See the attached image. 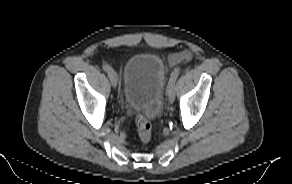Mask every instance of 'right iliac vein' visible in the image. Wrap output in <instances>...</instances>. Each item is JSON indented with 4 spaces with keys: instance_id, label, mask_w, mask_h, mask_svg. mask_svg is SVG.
<instances>
[{
    "instance_id": "1",
    "label": "right iliac vein",
    "mask_w": 292,
    "mask_h": 184,
    "mask_svg": "<svg viewBox=\"0 0 292 184\" xmlns=\"http://www.w3.org/2000/svg\"><path fill=\"white\" fill-rule=\"evenodd\" d=\"M108 76H109V79L111 81V84L114 88H116L117 86V82H118V77H117V73L114 71V70H110L108 72Z\"/></svg>"
}]
</instances>
